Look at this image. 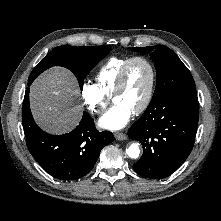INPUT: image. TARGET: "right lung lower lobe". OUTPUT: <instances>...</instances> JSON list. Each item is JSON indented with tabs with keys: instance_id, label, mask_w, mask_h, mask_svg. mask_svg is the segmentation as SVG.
<instances>
[{
	"instance_id": "obj_1",
	"label": "right lung lower lobe",
	"mask_w": 221,
	"mask_h": 221,
	"mask_svg": "<svg viewBox=\"0 0 221 221\" xmlns=\"http://www.w3.org/2000/svg\"><path fill=\"white\" fill-rule=\"evenodd\" d=\"M22 123L31 155L46 172L61 180H77L87 175L102 148L114 140L111 132L97 131L93 119L86 112L79 125L67 134L51 135L44 132L32 117L29 88L25 92Z\"/></svg>"
}]
</instances>
